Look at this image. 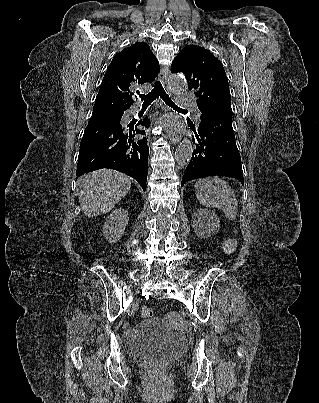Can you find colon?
Instances as JSON below:
<instances>
[{"instance_id":"1","label":"colon","mask_w":319,"mask_h":403,"mask_svg":"<svg viewBox=\"0 0 319 403\" xmlns=\"http://www.w3.org/2000/svg\"><path fill=\"white\" fill-rule=\"evenodd\" d=\"M234 248H235V242L234 241H227L224 244V250L226 252H231V251L234 250ZM141 315L144 318L152 317L153 316V310L150 307H143L142 310H141ZM152 369H153L155 377L157 378L158 381L164 382L166 380L167 373H166L164 368H162L159 365H154Z\"/></svg>"}]
</instances>
